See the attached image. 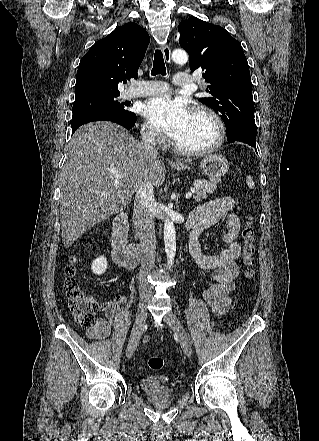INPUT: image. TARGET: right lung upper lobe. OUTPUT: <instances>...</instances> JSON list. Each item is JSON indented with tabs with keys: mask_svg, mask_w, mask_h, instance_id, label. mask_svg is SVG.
Segmentation results:
<instances>
[{
	"mask_svg": "<svg viewBox=\"0 0 319 441\" xmlns=\"http://www.w3.org/2000/svg\"><path fill=\"white\" fill-rule=\"evenodd\" d=\"M150 38L135 23L116 28L80 60L75 100L120 95L118 83L137 78Z\"/></svg>",
	"mask_w": 319,
	"mask_h": 441,
	"instance_id": "1",
	"label": "right lung upper lobe"
}]
</instances>
